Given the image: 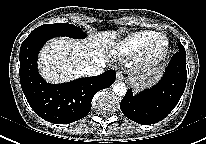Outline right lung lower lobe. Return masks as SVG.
<instances>
[{"label": "right lung lower lobe", "mask_w": 206, "mask_h": 144, "mask_svg": "<svg viewBox=\"0 0 206 144\" xmlns=\"http://www.w3.org/2000/svg\"><path fill=\"white\" fill-rule=\"evenodd\" d=\"M53 37L30 34L20 47V83L25 97L42 119L55 124H69L84 118L91 110L93 96L115 81L113 70L99 76L80 78L53 85L37 69V56L42 46Z\"/></svg>", "instance_id": "right-lung-lower-lobe-1"}]
</instances>
